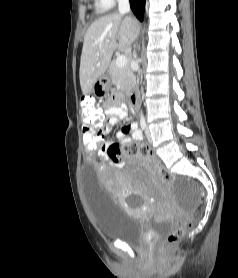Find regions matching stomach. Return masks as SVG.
I'll use <instances>...</instances> for the list:
<instances>
[{
    "instance_id": "1",
    "label": "stomach",
    "mask_w": 238,
    "mask_h": 278,
    "mask_svg": "<svg viewBox=\"0 0 238 278\" xmlns=\"http://www.w3.org/2000/svg\"><path fill=\"white\" fill-rule=\"evenodd\" d=\"M111 86V76L109 73H104L96 84L93 86V93L98 99H105V93H108V88Z\"/></svg>"
}]
</instances>
